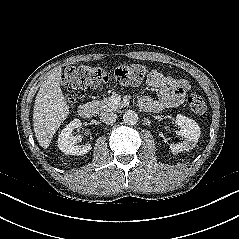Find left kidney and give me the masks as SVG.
Masks as SVG:
<instances>
[{
	"instance_id": "1",
	"label": "left kidney",
	"mask_w": 239,
	"mask_h": 239,
	"mask_svg": "<svg viewBox=\"0 0 239 239\" xmlns=\"http://www.w3.org/2000/svg\"><path fill=\"white\" fill-rule=\"evenodd\" d=\"M175 122L180 127L179 135L183 137L184 141L170 144L171 151L178 153L184 150H192L199 140L201 134L200 127L193 119L181 114L176 116Z\"/></svg>"
}]
</instances>
